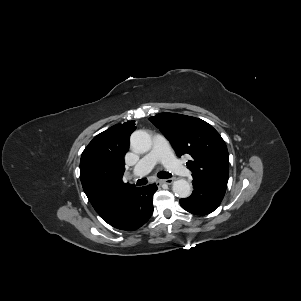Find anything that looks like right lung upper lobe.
<instances>
[{
	"mask_svg": "<svg viewBox=\"0 0 301 301\" xmlns=\"http://www.w3.org/2000/svg\"><path fill=\"white\" fill-rule=\"evenodd\" d=\"M135 121L117 124L95 136L81 155L80 179L96 212L109 223L135 188L122 182L124 155Z\"/></svg>",
	"mask_w": 301,
	"mask_h": 301,
	"instance_id": "cb5924a9",
	"label": "right lung upper lobe"
}]
</instances>
